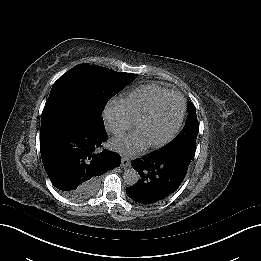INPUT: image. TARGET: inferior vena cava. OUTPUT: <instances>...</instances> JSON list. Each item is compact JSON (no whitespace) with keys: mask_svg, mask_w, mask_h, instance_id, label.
<instances>
[{"mask_svg":"<svg viewBox=\"0 0 261 261\" xmlns=\"http://www.w3.org/2000/svg\"><path fill=\"white\" fill-rule=\"evenodd\" d=\"M105 126H106V130L109 133L114 134L115 136H120L125 131L124 127L121 124H119L118 122H115V121L106 122Z\"/></svg>","mask_w":261,"mask_h":261,"instance_id":"inferior-vena-cava-1","label":"inferior vena cava"}]
</instances>
